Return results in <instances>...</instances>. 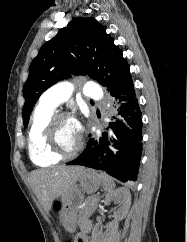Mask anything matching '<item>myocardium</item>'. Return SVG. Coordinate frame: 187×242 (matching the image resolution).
Listing matches in <instances>:
<instances>
[{"mask_svg": "<svg viewBox=\"0 0 187 242\" xmlns=\"http://www.w3.org/2000/svg\"><path fill=\"white\" fill-rule=\"evenodd\" d=\"M63 120H70L74 122L73 117L66 112H55L49 119L44 132H43V143L46 151L55 157L60 159H69L71 157L76 156L83 147V139L81 134H79V139L76 147L69 151L63 152L59 150L55 145V130L59 122Z\"/></svg>", "mask_w": 187, "mask_h": 242, "instance_id": "1", "label": "myocardium"}]
</instances>
